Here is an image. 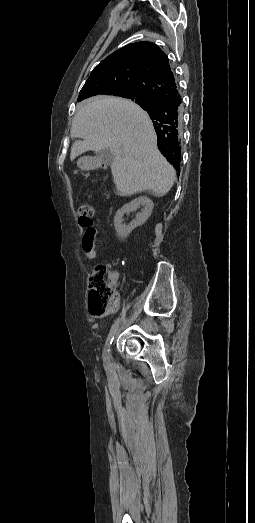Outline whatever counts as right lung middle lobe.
Returning <instances> with one entry per match:
<instances>
[{
  "mask_svg": "<svg viewBox=\"0 0 255 523\" xmlns=\"http://www.w3.org/2000/svg\"><path fill=\"white\" fill-rule=\"evenodd\" d=\"M116 96L128 98L135 102H141L142 107L145 109H150L154 105L153 98L148 96L147 93L139 90H127L117 94Z\"/></svg>",
  "mask_w": 255,
  "mask_h": 523,
  "instance_id": "dd1d6c3e",
  "label": "right lung middle lobe"
}]
</instances>
